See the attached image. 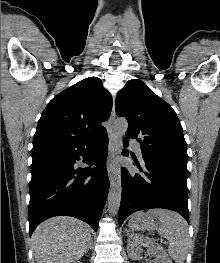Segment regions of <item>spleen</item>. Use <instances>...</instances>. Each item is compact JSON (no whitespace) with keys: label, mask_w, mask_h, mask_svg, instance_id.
Instances as JSON below:
<instances>
[{"label":"spleen","mask_w":220,"mask_h":263,"mask_svg":"<svg viewBox=\"0 0 220 263\" xmlns=\"http://www.w3.org/2000/svg\"><path fill=\"white\" fill-rule=\"evenodd\" d=\"M148 213L159 218L158 234L168 240L170 257L176 263H183L189 245L188 224L185 219L176 212L166 209H154Z\"/></svg>","instance_id":"3e777b00"}]
</instances>
